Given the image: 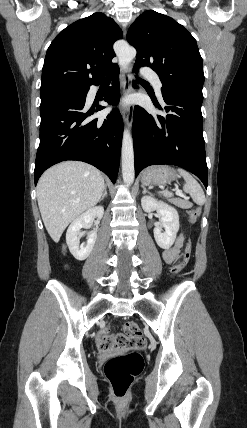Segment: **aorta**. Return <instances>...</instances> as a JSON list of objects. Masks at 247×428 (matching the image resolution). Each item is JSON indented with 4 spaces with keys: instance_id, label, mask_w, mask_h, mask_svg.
I'll use <instances>...</instances> for the list:
<instances>
[{
    "instance_id": "obj_1",
    "label": "aorta",
    "mask_w": 247,
    "mask_h": 428,
    "mask_svg": "<svg viewBox=\"0 0 247 428\" xmlns=\"http://www.w3.org/2000/svg\"><path fill=\"white\" fill-rule=\"evenodd\" d=\"M117 56L120 67L125 70L128 68L131 61L135 58L136 50L133 47L125 44L121 48L117 49ZM121 157L123 181L124 183L130 185L133 183L135 175L134 148L132 136L127 129H125L123 132Z\"/></svg>"
}]
</instances>
